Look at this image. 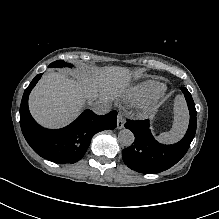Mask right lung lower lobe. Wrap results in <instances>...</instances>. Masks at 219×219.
<instances>
[{
  "mask_svg": "<svg viewBox=\"0 0 219 219\" xmlns=\"http://www.w3.org/2000/svg\"><path fill=\"white\" fill-rule=\"evenodd\" d=\"M41 76L42 74H38L24 91L20 105L22 133L28 144L41 157L55 163H75L84 156L96 133L117 127V112L111 111L98 116L87 109L62 129L43 128L35 122L28 109L29 94Z\"/></svg>",
  "mask_w": 219,
  "mask_h": 219,
  "instance_id": "1",
  "label": "right lung lower lobe"
}]
</instances>
